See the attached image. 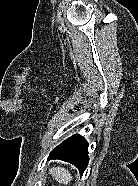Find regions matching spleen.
<instances>
[{
    "instance_id": "1",
    "label": "spleen",
    "mask_w": 138,
    "mask_h": 186,
    "mask_svg": "<svg viewBox=\"0 0 138 186\" xmlns=\"http://www.w3.org/2000/svg\"><path fill=\"white\" fill-rule=\"evenodd\" d=\"M50 173L56 181L64 185H67L72 180L70 172L63 167H53L50 169Z\"/></svg>"
}]
</instances>
